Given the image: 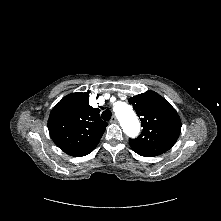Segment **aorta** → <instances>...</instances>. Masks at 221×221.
<instances>
[{
    "instance_id": "1",
    "label": "aorta",
    "mask_w": 221,
    "mask_h": 221,
    "mask_svg": "<svg viewBox=\"0 0 221 221\" xmlns=\"http://www.w3.org/2000/svg\"><path fill=\"white\" fill-rule=\"evenodd\" d=\"M123 131L130 137H135L140 130V124L132 107L123 101H118L113 106Z\"/></svg>"
}]
</instances>
